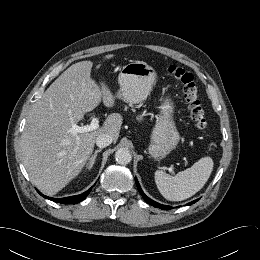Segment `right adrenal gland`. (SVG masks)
I'll list each match as a JSON object with an SVG mask.
<instances>
[{
  "mask_svg": "<svg viewBox=\"0 0 260 260\" xmlns=\"http://www.w3.org/2000/svg\"><path fill=\"white\" fill-rule=\"evenodd\" d=\"M101 151H102L101 149L95 150L94 154L89 158V163L87 164V169L90 170L93 167L97 154Z\"/></svg>",
  "mask_w": 260,
  "mask_h": 260,
  "instance_id": "obj_1",
  "label": "right adrenal gland"
}]
</instances>
